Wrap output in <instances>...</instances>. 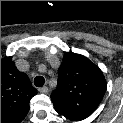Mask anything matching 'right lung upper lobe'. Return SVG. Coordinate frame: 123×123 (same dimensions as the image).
<instances>
[{"mask_svg": "<svg viewBox=\"0 0 123 123\" xmlns=\"http://www.w3.org/2000/svg\"><path fill=\"white\" fill-rule=\"evenodd\" d=\"M37 94L28 76L13 65L12 57L1 60V123H20Z\"/></svg>", "mask_w": 123, "mask_h": 123, "instance_id": "cb5924a9", "label": "right lung upper lobe"}]
</instances>
